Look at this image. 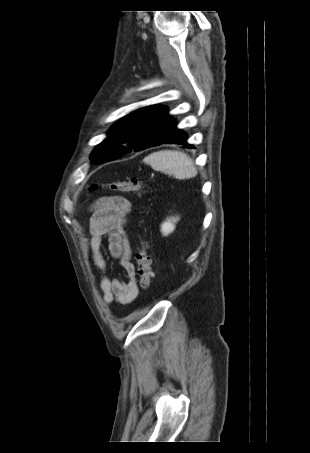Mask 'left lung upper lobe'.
<instances>
[{
    "instance_id": "5c2ea615",
    "label": "left lung upper lobe",
    "mask_w": 310,
    "mask_h": 453,
    "mask_svg": "<svg viewBox=\"0 0 310 453\" xmlns=\"http://www.w3.org/2000/svg\"><path fill=\"white\" fill-rule=\"evenodd\" d=\"M164 106L140 108L122 118L91 154L94 164L111 161L131 150L140 151L163 139L173 119Z\"/></svg>"
}]
</instances>
